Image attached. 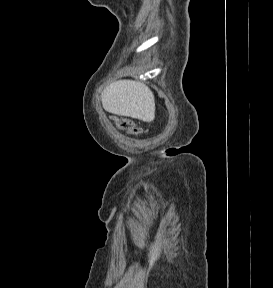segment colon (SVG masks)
<instances>
[{
  "instance_id": "1",
  "label": "colon",
  "mask_w": 273,
  "mask_h": 288,
  "mask_svg": "<svg viewBox=\"0 0 273 288\" xmlns=\"http://www.w3.org/2000/svg\"><path fill=\"white\" fill-rule=\"evenodd\" d=\"M116 126L130 134H139L141 132L140 128L131 120L125 117L115 118Z\"/></svg>"
}]
</instances>
